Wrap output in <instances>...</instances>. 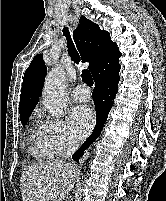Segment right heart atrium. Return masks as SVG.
I'll list each match as a JSON object with an SVG mask.
<instances>
[{"label": "right heart atrium", "instance_id": "right-heart-atrium-1", "mask_svg": "<svg viewBox=\"0 0 166 201\" xmlns=\"http://www.w3.org/2000/svg\"><path fill=\"white\" fill-rule=\"evenodd\" d=\"M45 133L50 145L57 154L76 146L67 123L58 117L48 118L44 123Z\"/></svg>", "mask_w": 166, "mask_h": 201}]
</instances>
